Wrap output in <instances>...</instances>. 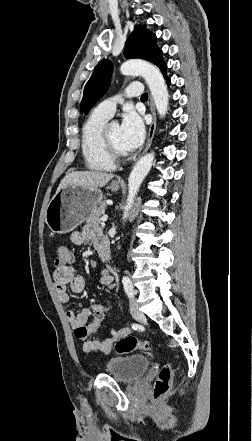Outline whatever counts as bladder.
Wrapping results in <instances>:
<instances>
[{
  "label": "bladder",
  "mask_w": 252,
  "mask_h": 441,
  "mask_svg": "<svg viewBox=\"0 0 252 441\" xmlns=\"http://www.w3.org/2000/svg\"><path fill=\"white\" fill-rule=\"evenodd\" d=\"M151 360L146 355L116 357L107 361L108 373L122 382H134L140 379L149 369Z\"/></svg>",
  "instance_id": "31cf9c89"
}]
</instances>
